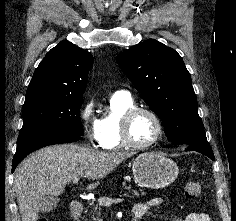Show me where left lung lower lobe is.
<instances>
[{
	"label": "left lung lower lobe",
	"instance_id": "0a47b994",
	"mask_svg": "<svg viewBox=\"0 0 236 221\" xmlns=\"http://www.w3.org/2000/svg\"><path fill=\"white\" fill-rule=\"evenodd\" d=\"M186 150L187 151H197V152H200V153L208 156L212 160H215L214 159L213 151H212V149L210 147V144L208 142L186 145Z\"/></svg>",
	"mask_w": 236,
	"mask_h": 221
}]
</instances>
